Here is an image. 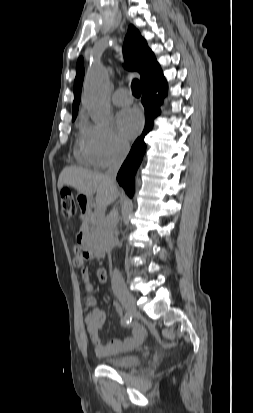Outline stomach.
Listing matches in <instances>:
<instances>
[{"instance_id": "0dacf381", "label": "stomach", "mask_w": 253, "mask_h": 413, "mask_svg": "<svg viewBox=\"0 0 253 413\" xmlns=\"http://www.w3.org/2000/svg\"><path fill=\"white\" fill-rule=\"evenodd\" d=\"M76 199H77L78 201L80 200L82 203L85 202V204H86L87 206H89L90 203H91V197H88V196H86V195H84V194H81V193H78V195L76 196Z\"/></svg>"}]
</instances>
